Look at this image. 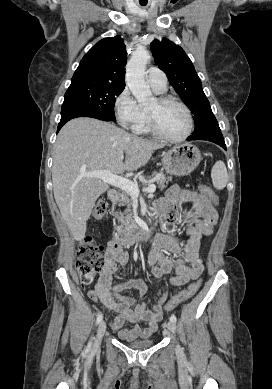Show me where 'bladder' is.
<instances>
[{
  "label": "bladder",
  "instance_id": "31cf9c89",
  "mask_svg": "<svg viewBox=\"0 0 272 389\" xmlns=\"http://www.w3.org/2000/svg\"><path fill=\"white\" fill-rule=\"evenodd\" d=\"M154 345V341L149 339V340H127V346L132 348V349H147L150 348Z\"/></svg>",
  "mask_w": 272,
  "mask_h": 389
}]
</instances>
